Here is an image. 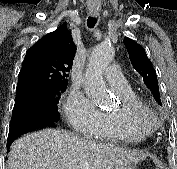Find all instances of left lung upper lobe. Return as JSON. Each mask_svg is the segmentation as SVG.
I'll list each match as a JSON object with an SVG mask.
<instances>
[{"label": "left lung upper lobe", "mask_w": 177, "mask_h": 169, "mask_svg": "<svg viewBox=\"0 0 177 169\" xmlns=\"http://www.w3.org/2000/svg\"><path fill=\"white\" fill-rule=\"evenodd\" d=\"M124 44L134 69L142 76L144 83L152 91L158 104L162 105L156 71L148 60L144 48L129 38L124 40Z\"/></svg>", "instance_id": "left-lung-upper-lobe-1"}]
</instances>
